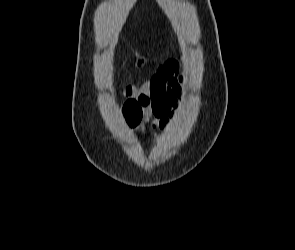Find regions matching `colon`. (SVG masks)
Segmentation results:
<instances>
[{"label":"colon","instance_id":"5ec220e1","mask_svg":"<svg viewBox=\"0 0 295 250\" xmlns=\"http://www.w3.org/2000/svg\"><path fill=\"white\" fill-rule=\"evenodd\" d=\"M123 113L131 126L138 125L142 120L143 110L136 100L128 99L123 105Z\"/></svg>","mask_w":295,"mask_h":250}]
</instances>
